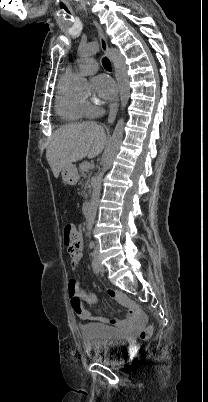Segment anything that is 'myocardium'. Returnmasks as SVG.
Masks as SVG:
<instances>
[{
  "label": "myocardium",
  "mask_w": 208,
  "mask_h": 402,
  "mask_svg": "<svg viewBox=\"0 0 208 402\" xmlns=\"http://www.w3.org/2000/svg\"><path fill=\"white\" fill-rule=\"evenodd\" d=\"M82 97H83V99L87 98V96H86V95H82Z\"/></svg>",
  "instance_id": "f54148a6"
}]
</instances>
